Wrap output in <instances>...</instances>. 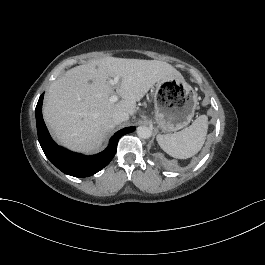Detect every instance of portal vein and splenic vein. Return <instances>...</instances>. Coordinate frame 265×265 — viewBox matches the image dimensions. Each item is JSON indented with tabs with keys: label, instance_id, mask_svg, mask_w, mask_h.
Wrapping results in <instances>:
<instances>
[{
	"label": "portal vein and splenic vein",
	"instance_id": "obj_1",
	"mask_svg": "<svg viewBox=\"0 0 265 265\" xmlns=\"http://www.w3.org/2000/svg\"><path fill=\"white\" fill-rule=\"evenodd\" d=\"M109 83L112 84L117 89L120 88L119 78L118 77L113 78L112 80L109 81ZM119 99H120L119 95H113L111 97V101H113V102H118Z\"/></svg>",
	"mask_w": 265,
	"mask_h": 265
}]
</instances>
